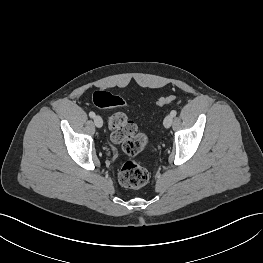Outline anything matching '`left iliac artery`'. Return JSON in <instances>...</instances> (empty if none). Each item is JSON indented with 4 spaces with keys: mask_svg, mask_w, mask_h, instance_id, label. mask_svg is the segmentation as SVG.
Masks as SVG:
<instances>
[{
    "mask_svg": "<svg viewBox=\"0 0 263 263\" xmlns=\"http://www.w3.org/2000/svg\"><path fill=\"white\" fill-rule=\"evenodd\" d=\"M176 114H177V111H176V110H172L171 113H170V115H171L172 117H175Z\"/></svg>",
    "mask_w": 263,
    "mask_h": 263,
    "instance_id": "obj_1",
    "label": "left iliac artery"
}]
</instances>
